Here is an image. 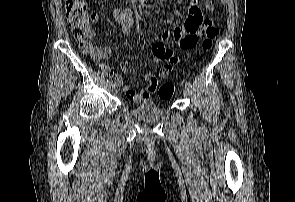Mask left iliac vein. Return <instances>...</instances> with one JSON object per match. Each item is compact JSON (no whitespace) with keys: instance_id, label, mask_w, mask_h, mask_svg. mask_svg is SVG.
Wrapping results in <instances>:
<instances>
[{"instance_id":"left-iliac-vein-1","label":"left iliac vein","mask_w":295,"mask_h":202,"mask_svg":"<svg viewBox=\"0 0 295 202\" xmlns=\"http://www.w3.org/2000/svg\"><path fill=\"white\" fill-rule=\"evenodd\" d=\"M183 94H184V96L189 97V96L191 95L190 88L187 87V86H185V87L183 88Z\"/></svg>"}]
</instances>
